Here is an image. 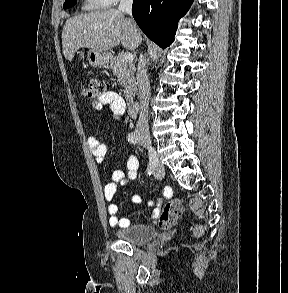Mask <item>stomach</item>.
<instances>
[{"label":"stomach","mask_w":288,"mask_h":293,"mask_svg":"<svg viewBox=\"0 0 288 293\" xmlns=\"http://www.w3.org/2000/svg\"><path fill=\"white\" fill-rule=\"evenodd\" d=\"M87 59L95 67L108 69L112 66V57L108 52L105 53L91 49L87 54Z\"/></svg>","instance_id":"0dacf381"}]
</instances>
